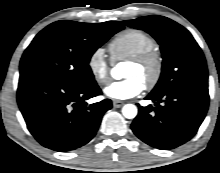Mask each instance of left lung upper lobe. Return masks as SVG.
I'll list each match as a JSON object with an SVG mask.
<instances>
[{"mask_svg": "<svg viewBox=\"0 0 220 173\" xmlns=\"http://www.w3.org/2000/svg\"><path fill=\"white\" fill-rule=\"evenodd\" d=\"M123 23L148 32L160 44L162 72L151 93L161 94L180 87L208 88L204 55L187 29L169 18L156 15Z\"/></svg>", "mask_w": 220, "mask_h": 173, "instance_id": "1", "label": "left lung upper lobe"}]
</instances>
